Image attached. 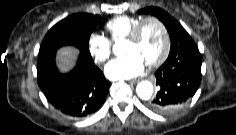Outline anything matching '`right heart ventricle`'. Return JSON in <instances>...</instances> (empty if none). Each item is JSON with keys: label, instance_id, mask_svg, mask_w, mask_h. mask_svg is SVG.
Listing matches in <instances>:
<instances>
[{"label": "right heart ventricle", "instance_id": "obj_1", "mask_svg": "<svg viewBox=\"0 0 236 135\" xmlns=\"http://www.w3.org/2000/svg\"><path fill=\"white\" fill-rule=\"evenodd\" d=\"M142 19V16H119L108 21L105 30L112 42H119L125 40Z\"/></svg>", "mask_w": 236, "mask_h": 135}]
</instances>
